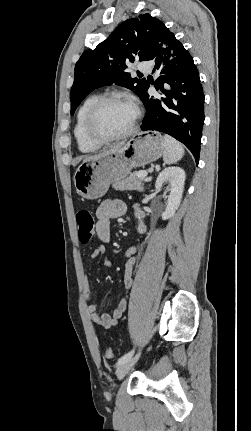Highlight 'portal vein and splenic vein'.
<instances>
[{
	"label": "portal vein and splenic vein",
	"mask_w": 251,
	"mask_h": 431,
	"mask_svg": "<svg viewBox=\"0 0 251 431\" xmlns=\"http://www.w3.org/2000/svg\"><path fill=\"white\" fill-rule=\"evenodd\" d=\"M147 175H148V174H147V172H139V173H138V177H144V178H146V177H147ZM145 180L147 181V180H148V178H146Z\"/></svg>",
	"instance_id": "portal-vein-and-splenic-vein-1"
}]
</instances>
